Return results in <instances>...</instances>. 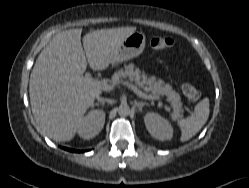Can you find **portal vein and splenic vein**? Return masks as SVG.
<instances>
[{
  "label": "portal vein and splenic vein",
  "instance_id": "obj_1",
  "mask_svg": "<svg viewBox=\"0 0 249 188\" xmlns=\"http://www.w3.org/2000/svg\"><path fill=\"white\" fill-rule=\"evenodd\" d=\"M84 82L88 85L94 86L98 89L104 90V91H111L113 89L112 85H109L103 81H99L96 79H93L90 74H86L84 77ZM123 85L127 86L131 90H133L139 97H142L144 99L148 100H155V98L151 95H147L143 93L137 86L133 85L132 83L129 82H123Z\"/></svg>",
  "mask_w": 249,
  "mask_h": 188
}]
</instances>
